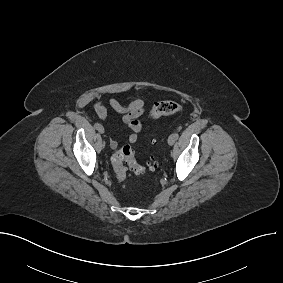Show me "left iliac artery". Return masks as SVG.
Wrapping results in <instances>:
<instances>
[{
    "mask_svg": "<svg viewBox=\"0 0 283 283\" xmlns=\"http://www.w3.org/2000/svg\"><path fill=\"white\" fill-rule=\"evenodd\" d=\"M175 137H176V139H178V137H179V134H178V133H175Z\"/></svg>",
    "mask_w": 283,
    "mask_h": 283,
    "instance_id": "obj_1",
    "label": "left iliac artery"
}]
</instances>
